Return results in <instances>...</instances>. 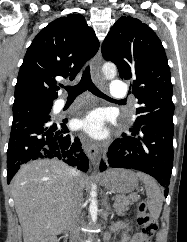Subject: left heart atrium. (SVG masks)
I'll return each mask as SVG.
<instances>
[{"label":"left heart atrium","mask_w":187,"mask_h":242,"mask_svg":"<svg viewBox=\"0 0 187 242\" xmlns=\"http://www.w3.org/2000/svg\"><path fill=\"white\" fill-rule=\"evenodd\" d=\"M78 127L95 138L104 137L107 133L105 116L99 110H93L79 119Z\"/></svg>","instance_id":"left-heart-atrium-1"}]
</instances>
